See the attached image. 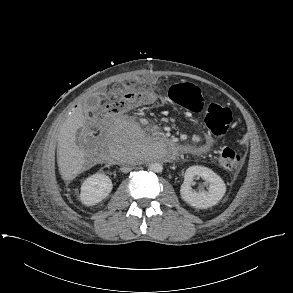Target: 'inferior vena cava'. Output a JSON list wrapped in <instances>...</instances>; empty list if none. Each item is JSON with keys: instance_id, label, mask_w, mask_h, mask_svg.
Returning a JSON list of instances; mask_svg holds the SVG:
<instances>
[{"instance_id": "inferior-vena-cava-1", "label": "inferior vena cava", "mask_w": 293, "mask_h": 293, "mask_svg": "<svg viewBox=\"0 0 293 293\" xmlns=\"http://www.w3.org/2000/svg\"><path fill=\"white\" fill-rule=\"evenodd\" d=\"M132 169H133L132 163H127L126 165H124L121 168V171L124 172V173H127V172L131 171Z\"/></svg>"}]
</instances>
